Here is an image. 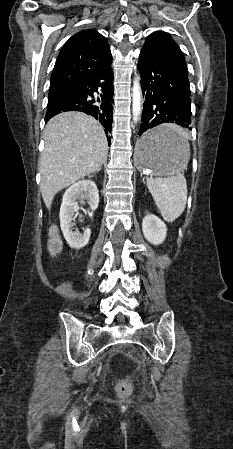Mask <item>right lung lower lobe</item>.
Instances as JSON below:
<instances>
[{"label": "right lung lower lobe", "instance_id": "obj_1", "mask_svg": "<svg viewBox=\"0 0 233 449\" xmlns=\"http://www.w3.org/2000/svg\"><path fill=\"white\" fill-rule=\"evenodd\" d=\"M111 63L72 86L77 93L75 97L48 105L45 122L61 112H85L101 122L110 145L111 137L108 134L111 132L113 121V70ZM98 89L100 92L97 91Z\"/></svg>", "mask_w": 233, "mask_h": 449}]
</instances>
